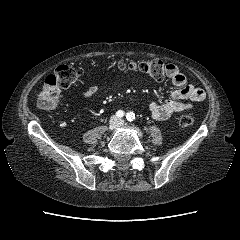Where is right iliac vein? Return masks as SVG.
<instances>
[{"label":"right iliac vein","mask_w":240,"mask_h":240,"mask_svg":"<svg viewBox=\"0 0 240 240\" xmlns=\"http://www.w3.org/2000/svg\"><path fill=\"white\" fill-rule=\"evenodd\" d=\"M118 126H119V120L117 119V117H112L109 121L108 129L112 131Z\"/></svg>","instance_id":"obj_1"}]
</instances>
